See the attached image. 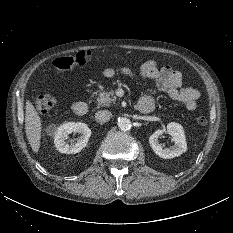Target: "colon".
Listing matches in <instances>:
<instances>
[{"mask_svg":"<svg viewBox=\"0 0 233 233\" xmlns=\"http://www.w3.org/2000/svg\"><path fill=\"white\" fill-rule=\"evenodd\" d=\"M93 61V54L89 51H81L71 56H64L56 58L53 61V66L58 70H69L74 66L85 65ZM56 104V99L50 94H43L38 96L35 101V107L38 112L42 114L48 113ZM197 123L204 126L208 123L205 116H199L197 118Z\"/></svg>","mask_w":233,"mask_h":233,"instance_id":"5ec220e1","label":"colon"}]
</instances>
